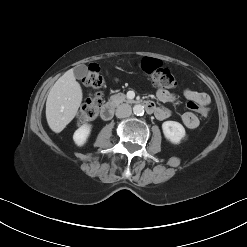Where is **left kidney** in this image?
<instances>
[{
    "mask_svg": "<svg viewBox=\"0 0 247 247\" xmlns=\"http://www.w3.org/2000/svg\"><path fill=\"white\" fill-rule=\"evenodd\" d=\"M162 130L166 139L174 144H179L186 135L185 128L176 121L163 122Z\"/></svg>",
    "mask_w": 247,
    "mask_h": 247,
    "instance_id": "obj_1",
    "label": "left kidney"
}]
</instances>
